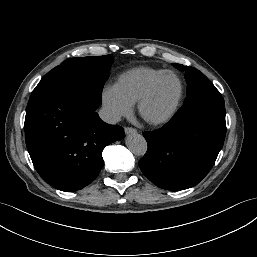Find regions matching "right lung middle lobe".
<instances>
[{
  "instance_id": "1",
  "label": "right lung middle lobe",
  "mask_w": 257,
  "mask_h": 257,
  "mask_svg": "<svg viewBox=\"0 0 257 257\" xmlns=\"http://www.w3.org/2000/svg\"><path fill=\"white\" fill-rule=\"evenodd\" d=\"M112 62V55L68 59L49 71L32 94L62 87L81 86L95 98L102 99V89L109 77Z\"/></svg>"
}]
</instances>
